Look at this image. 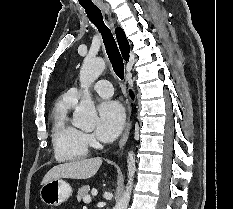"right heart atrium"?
I'll use <instances>...</instances> for the list:
<instances>
[{
    "label": "right heart atrium",
    "mask_w": 233,
    "mask_h": 209,
    "mask_svg": "<svg viewBox=\"0 0 233 209\" xmlns=\"http://www.w3.org/2000/svg\"><path fill=\"white\" fill-rule=\"evenodd\" d=\"M82 137L88 146H96L97 145V142L92 134L82 133Z\"/></svg>",
    "instance_id": "d8ad5b80"
}]
</instances>
